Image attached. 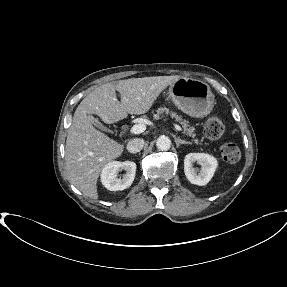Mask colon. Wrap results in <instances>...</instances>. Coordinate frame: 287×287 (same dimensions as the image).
<instances>
[{
	"mask_svg": "<svg viewBox=\"0 0 287 287\" xmlns=\"http://www.w3.org/2000/svg\"><path fill=\"white\" fill-rule=\"evenodd\" d=\"M225 131L224 121L217 116L210 117L204 124V134L208 139L217 140ZM222 158L231 164L237 163L241 158V151L237 144L228 142L221 147Z\"/></svg>",
	"mask_w": 287,
	"mask_h": 287,
	"instance_id": "colon-1",
	"label": "colon"
}]
</instances>
